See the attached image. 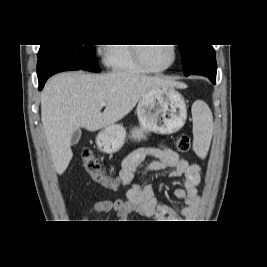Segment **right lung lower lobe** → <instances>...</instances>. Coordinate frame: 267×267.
Here are the masks:
<instances>
[{"instance_id":"1","label":"right lung lower lobe","mask_w":267,"mask_h":267,"mask_svg":"<svg viewBox=\"0 0 267 267\" xmlns=\"http://www.w3.org/2000/svg\"><path fill=\"white\" fill-rule=\"evenodd\" d=\"M70 70H82L80 67L71 64L68 61L54 57L44 56L38 58L37 63V75L39 81V90H41L47 79L59 72L70 71Z\"/></svg>"}]
</instances>
